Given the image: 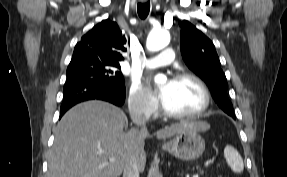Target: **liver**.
Instances as JSON below:
<instances>
[{
  "label": "liver",
  "instance_id": "1",
  "mask_svg": "<svg viewBox=\"0 0 287 177\" xmlns=\"http://www.w3.org/2000/svg\"><path fill=\"white\" fill-rule=\"evenodd\" d=\"M128 120L118 107L103 101H88L71 108L54 130L46 177H119L132 158L143 172L144 140L138 129L124 132ZM205 122L181 121L157 132L158 139L186 129L206 131ZM98 149L106 153H98ZM113 157L114 162L108 161Z\"/></svg>",
  "mask_w": 287,
  "mask_h": 177
}]
</instances>
